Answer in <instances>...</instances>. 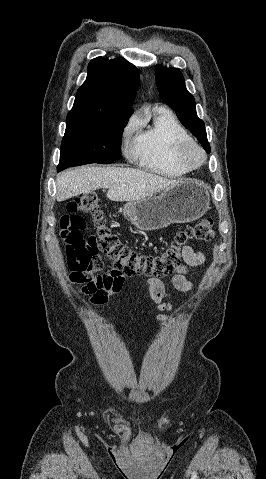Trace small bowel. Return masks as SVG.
Here are the masks:
<instances>
[{
  "mask_svg": "<svg viewBox=\"0 0 266 479\" xmlns=\"http://www.w3.org/2000/svg\"><path fill=\"white\" fill-rule=\"evenodd\" d=\"M182 257L184 264L176 269V272L172 276V285L178 291L190 292L195 288V285L187 278L188 269L189 267L200 266L204 262L205 256L202 252L195 251L187 246L183 251ZM145 290L152 301L157 304L160 311L169 309V304L164 301L165 286L161 280L157 278H149L146 281ZM157 319L159 321H164L166 320V315L160 314L157 316Z\"/></svg>",
  "mask_w": 266,
  "mask_h": 479,
  "instance_id": "c3829d8e",
  "label": "small bowel"
}]
</instances>
